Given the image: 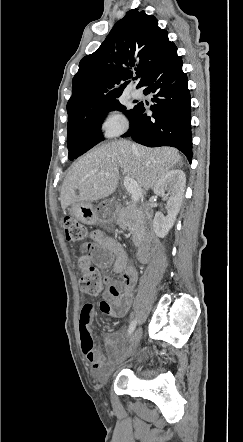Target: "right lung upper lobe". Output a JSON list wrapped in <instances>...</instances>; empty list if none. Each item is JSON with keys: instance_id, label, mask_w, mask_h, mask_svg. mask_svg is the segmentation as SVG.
Segmentation results:
<instances>
[{"instance_id": "right-lung-upper-lobe-1", "label": "right lung upper lobe", "mask_w": 243, "mask_h": 442, "mask_svg": "<svg viewBox=\"0 0 243 442\" xmlns=\"http://www.w3.org/2000/svg\"><path fill=\"white\" fill-rule=\"evenodd\" d=\"M176 49L154 16L128 11L101 46L80 61L67 103L68 119L121 95L133 71L139 79L137 88L142 87Z\"/></svg>"}]
</instances>
